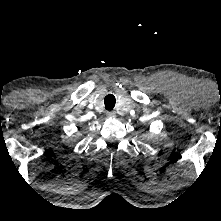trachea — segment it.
Segmentation results:
<instances>
[{
    "label": "trachea",
    "mask_w": 221,
    "mask_h": 221,
    "mask_svg": "<svg viewBox=\"0 0 221 221\" xmlns=\"http://www.w3.org/2000/svg\"><path fill=\"white\" fill-rule=\"evenodd\" d=\"M115 103H116V99H115V96L113 94H108L104 98V104H105V109L106 110H112L115 106Z\"/></svg>",
    "instance_id": "1"
}]
</instances>
